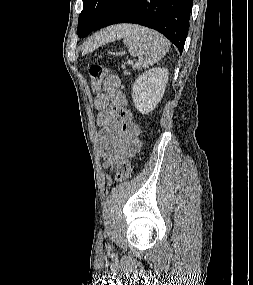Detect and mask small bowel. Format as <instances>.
<instances>
[{
    "label": "small bowel",
    "instance_id": "1",
    "mask_svg": "<svg viewBox=\"0 0 253 285\" xmlns=\"http://www.w3.org/2000/svg\"><path fill=\"white\" fill-rule=\"evenodd\" d=\"M125 104L126 97L120 90L118 77L109 76L104 82L103 91L95 99L106 168L114 167L120 158L128 153H136L141 147L139 127L124 108Z\"/></svg>",
    "mask_w": 253,
    "mask_h": 285
}]
</instances>
